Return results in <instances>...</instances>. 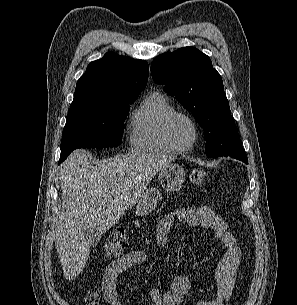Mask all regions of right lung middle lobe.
I'll return each mask as SVG.
<instances>
[{"label":"right lung middle lobe","mask_w":297,"mask_h":305,"mask_svg":"<svg viewBox=\"0 0 297 305\" xmlns=\"http://www.w3.org/2000/svg\"><path fill=\"white\" fill-rule=\"evenodd\" d=\"M137 97H128L106 103H91L70 106L65 124L61 157H66L77 148L116 147L121 144L123 123L130 104Z\"/></svg>","instance_id":"1"}]
</instances>
